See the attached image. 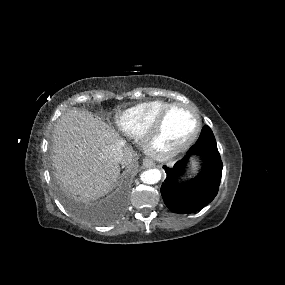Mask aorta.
Listing matches in <instances>:
<instances>
[{"label": "aorta", "instance_id": "1", "mask_svg": "<svg viewBox=\"0 0 285 285\" xmlns=\"http://www.w3.org/2000/svg\"><path fill=\"white\" fill-rule=\"evenodd\" d=\"M161 171L158 169H149L141 173L140 180L146 184H155L161 179Z\"/></svg>", "mask_w": 285, "mask_h": 285}]
</instances>
